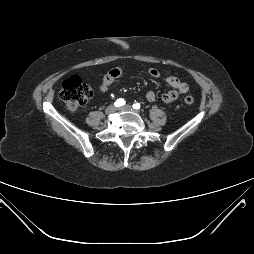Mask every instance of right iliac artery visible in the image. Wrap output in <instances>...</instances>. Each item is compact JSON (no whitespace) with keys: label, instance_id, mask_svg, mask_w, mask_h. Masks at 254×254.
<instances>
[{"label":"right iliac artery","instance_id":"82829eb1","mask_svg":"<svg viewBox=\"0 0 254 254\" xmlns=\"http://www.w3.org/2000/svg\"><path fill=\"white\" fill-rule=\"evenodd\" d=\"M115 106H117V107H119V106H122V105H124L125 104V100L124 99H122V98H120V99H117L116 101H115Z\"/></svg>","mask_w":254,"mask_h":254}]
</instances>
